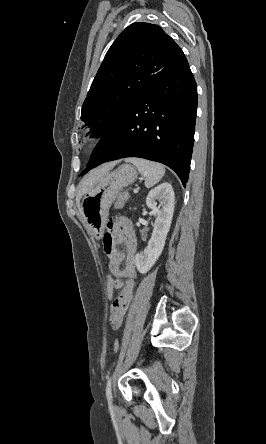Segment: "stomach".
Returning <instances> with one entry per match:
<instances>
[{"instance_id":"1","label":"stomach","mask_w":266,"mask_h":444,"mask_svg":"<svg viewBox=\"0 0 266 444\" xmlns=\"http://www.w3.org/2000/svg\"><path fill=\"white\" fill-rule=\"evenodd\" d=\"M137 171L130 164H123L116 170L106 173L84 196L80 210L89 231L99 237L105 228L108 212L118 193L132 184Z\"/></svg>"}]
</instances>
